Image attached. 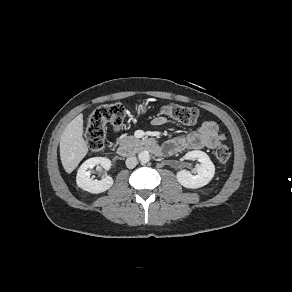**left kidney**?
<instances>
[{"mask_svg":"<svg viewBox=\"0 0 292 292\" xmlns=\"http://www.w3.org/2000/svg\"><path fill=\"white\" fill-rule=\"evenodd\" d=\"M185 160H195L200 162V165H196L197 175H192L187 170H181L177 173L178 182L191 189H196L207 185L215 174V166L210 160L209 156L200 150L189 151L184 156Z\"/></svg>","mask_w":292,"mask_h":292,"instance_id":"5707ae66","label":"left kidney"}]
</instances>
